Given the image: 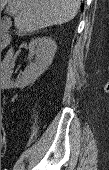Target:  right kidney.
Returning a JSON list of instances; mask_svg holds the SVG:
<instances>
[{
    "instance_id": "right-kidney-1",
    "label": "right kidney",
    "mask_w": 109,
    "mask_h": 170,
    "mask_svg": "<svg viewBox=\"0 0 109 170\" xmlns=\"http://www.w3.org/2000/svg\"><path fill=\"white\" fill-rule=\"evenodd\" d=\"M56 52V44L47 37H38L29 43L30 56L35 60L26 68L23 79L28 84L41 75L52 63Z\"/></svg>"
}]
</instances>
